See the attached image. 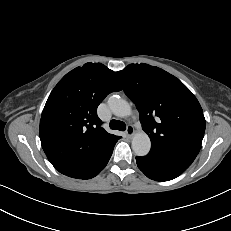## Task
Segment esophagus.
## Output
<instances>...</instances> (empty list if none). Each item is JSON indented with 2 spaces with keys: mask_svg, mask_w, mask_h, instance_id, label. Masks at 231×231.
<instances>
[{
  "mask_svg": "<svg viewBox=\"0 0 231 231\" xmlns=\"http://www.w3.org/2000/svg\"><path fill=\"white\" fill-rule=\"evenodd\" d=\"M125 133H126V136L132 137L135 133L134 127L132 125H128Z\"/></svg>",
  "mask_w": 231,
  "mask_h": 231,
  "instance_id": "1",
  "label": "esophagus"
}]
</instances>
